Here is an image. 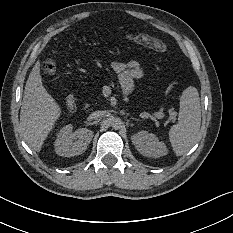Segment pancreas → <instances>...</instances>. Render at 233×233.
Masks as SVG:
<instances>
[{
    "mask_svg": "<svg viewBox=\"0 0 233 233\" xmlns=\"http://www.w3.org/2000/svg\"><path fill=\"white\" fill-rule=\"evenodd\" d=\"M155 113H158L160 116L163 117L162 109L159 112H155ZM169 114L172 116V118H175V116L177 115V113L174 112L172 109L169 110Z\"/></svg>",
    "mask_w": 233,
    "mask_h": 233,
    "instance_id": "cf45deb5",
    "label": "pancreas"
}]
</instances>
